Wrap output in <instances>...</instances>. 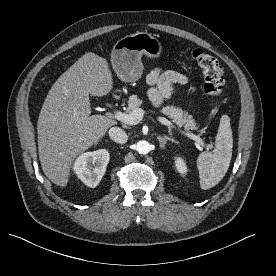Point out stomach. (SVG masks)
Here are the masks:
<instances>
[{
  "instance_id": "0dacf381",
  "label": "stomach",
  "mask_w": 276,
  "mask_h": 276,
  "mask_svg": "<svg viewBox=\"0 0 276 276\" xmlns=\"http://www.w3.org/2000/svg\"><path fill=\"white\" fill-rule=\"evenodd\" d=\"M161 42L147 32H136L118 40L111 52V64L123 82L137 81L143 72L142 55L154 59L161 56Z\"/></svg>"
}]
</instances>
